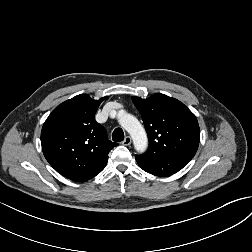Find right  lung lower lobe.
I'll return each instance as SVG.
<instances>
[{
  "label": "right lung lower lobe",
  "mask_w": 252,
  "mask_h": 252,
  "mask_svg": "<svg viewBox=\"0 0 252 252\" xmlns=\"http://www.w3.org/2000/svg\"><path fill=\"white\" fill-rule=\"evenodd\" d=\"M104 168H101L99 170H96L94 172H91V173H88L86 175H83L81 177H78L76 179H73L74 181H79V182H82V181H86V180H89L93 177H95L97 174H99Z\"/></svg>",
  "instance_id": "1"
}]
</instances>
